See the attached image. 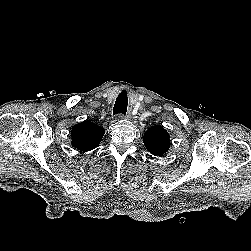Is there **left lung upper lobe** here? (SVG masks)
I'll return each mask as SVG.
<instances>
[{
	"label": "left lung upper lobe",
	"instance_id": "left-lung-upper-lobe-1",
	"mask_svg": "<svg viewBox=\"0 0 251 251\" xmlns=\"http://www.w3.org/2000/svg\"><path fill=\"white\" fill-rule=\"evenodd\" d=\"M143 142L147 150L156 156L164 155L170 148V136L161 125L149 128L144 134Z\"/></svg>",
	"mask_w": 251,
	"mask_h": 251
}]
</instances>
